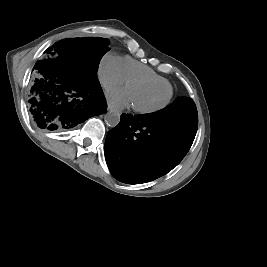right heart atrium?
I'll return each instance as SVG.
<instances>
[{"instance_id":"obj_1","label":"right heart atrium","mask_w":267,"mask_h":267,"mask_svg":"<svg viewBox=\"0 0 267 267\" xmlns=\"http://www.w3.org/2000/svg\"><path fill=\"white\" fill-rule=\"evenodd\" d=\"M98 78L105 88L121 85L125 82L121 59L114 54L106 53L98 65Z\"/></svg>"}]
</instances>
